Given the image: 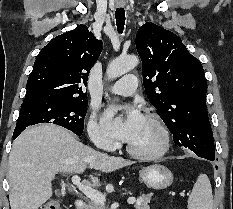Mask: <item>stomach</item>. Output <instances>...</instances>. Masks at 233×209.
Instances as JSON below:
<instances>
[{
    "instance_id": "obj_1",
    "label": "stomach",
    "mask_w": 233,
    "mask_h": 209,
    "mask_svg": "<svg viewBox=\"0 0 233 209\" xmlns=\"http://www.w3.org/2000/svg\"><path fill=\"white\" fill-rule=\"evenodd\" d=\"M140 180L149 188L165 189L173 182L172 172L165 166L154 164L139 171Z\"/></svg>"
}]
</instances>
